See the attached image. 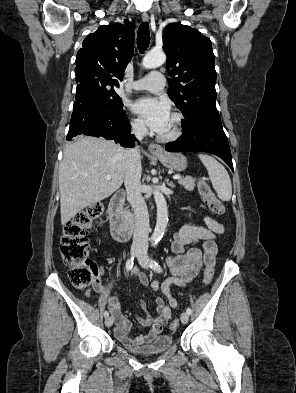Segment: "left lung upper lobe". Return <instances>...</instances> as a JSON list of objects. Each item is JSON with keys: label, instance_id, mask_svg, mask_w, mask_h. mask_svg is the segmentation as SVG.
<instances>
[{"label": "left lung upper lobe", "instance_id": "left-lung-upper-lobe-1", "mask_svg": "<svg viewBox=\"0 0 296 393\" xmlns=\"http://www.w3.org/2000/svg\"><path fill=\"white\" fill-rule=\"evenodd\" d=\"M163 49L172 77L168 95L185 117L182 127L200 116L218 114L211 40L187 25L172 23L164 30Z\"/></svg>", "mask_w": 296, "mask_h": 393}]
</instances>
